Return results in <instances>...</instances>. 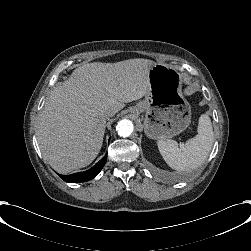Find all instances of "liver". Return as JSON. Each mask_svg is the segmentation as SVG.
Returning a JSON list of instances; mask_svg holds the SVG:
<instances>
[{
  "label": "liver",
  "mask_w": 251,
  "mask_h": 251,
  "mask_svg": "<svg viewBox=\"0 0 251 251\" xmlns=\"http://www.w3.org/2000/svg\"><path fill=\"white\" fill-rule=\"evenodd\" d=\"M154 61L131 58L91 62L57 85L38 118V143L45 160L60 174L91 164L103 144L106 120L148 92Z\"/></svg>",
  "instance_id": "1"
}]
</instances>
